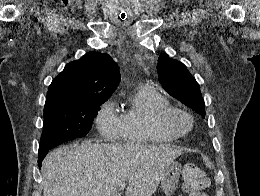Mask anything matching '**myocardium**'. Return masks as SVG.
Masks as SVG:
<instances>
[{
    "instance_id": "myocardium-1",
    "label": "myocardium",
    "mask_w": 260,
    "mask_h": 196,
    "mask_svg": "<svg viewBox=\"0 0 260 196\" xmlns=\"http://www.w3.org/2000/svg\"><path fill=\"white\" fill-rule=\"evenodd\" d=\"M177 119L184 122V127L177 125ZM155 126L164 132L175 134L179 138L186 136L192 130L190 114L179 107H171L160 112L158 119L155 121Z\"/></svg>"
}]
</instances>
